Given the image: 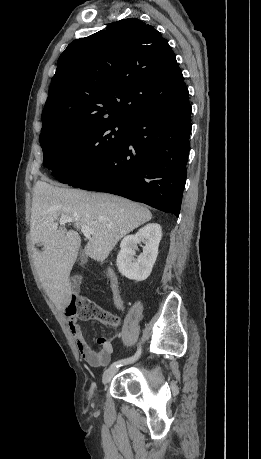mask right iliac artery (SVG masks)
I'll use <instances>...</instances> for the list:
<instances>
[{
  "mask_svg": "<svg viewBox=\"0 0 261 459\" xmlns=\"http://www.w3.org/2000/svg\"><path fill=\"white\" fill-rule=\"evenodd\" d=\"M141 354V349H138V351L136 352V354L130 358H127V359H122V360H118L116 362H114L110 367H120L124 364H128V363H131V362H134L138 357L139 355Z\"/></svg>",
  "mask_w": 261,
  "mask_h": 459,
  "instance_id": "right-iliac-artery-1",
  "label": "right iliac artery"
}]
</instances>
